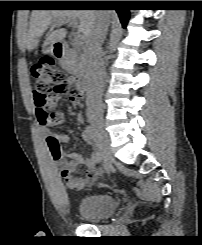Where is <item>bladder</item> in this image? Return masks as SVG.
Masks as SVG:
<instances>
[{
	"instance_id": "31cf9c89",
	"label": "bladder",
	"mask_w": 202,
	"mask_h": 245,
	"mask_svg": "<svg viewBox=\"0 0 202 245\" xmlns=\"http://www.w3.org/2000/svg\"><path fill=\"white\" fill-rule=\"evenodd\" d=\"M118 210V202L110 194L85 196L77 207L79 215L90 222H100L114 215Z\"/></svg>"
}]
</instances>
